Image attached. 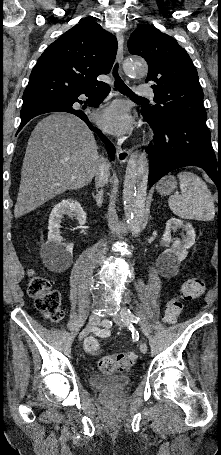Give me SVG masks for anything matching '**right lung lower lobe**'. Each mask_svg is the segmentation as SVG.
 Wrapping results in <instances>:
<instances>
[{"label": "right lung lower lobe", "mask_w": 221, "mask_h": 455, "mask_svg": "<svg viewBox=\"0 0 221 455\" xmlns=\"http://www.w3.org/2000/svg\"><path fill=\"white\" fill-rule=\"evenodd\" d=\"M110 91V87L105 84L104 82H93L86 84L77 88L76 90L70 92L65 97L58 99V100H51V101H44L35 104H31L25 106L21 110V124L19 127L20 131L23 126L32 118L49 112H67L74 114L81 118L91 130H95L96 133L101 137L102 141L105 143L107 147V151L112 159H114L115 155V148L113 144L101 133L100 130L94 128L92 124L89 122L86 114L82 110H77L72 107L75 102L82 103L81 100L78 99L80 95H86L90 99L88 100L89 106L98 107L99 104L104 100L107 94Z\"/></svg>", "instance_id": "1"}]
</instances>
